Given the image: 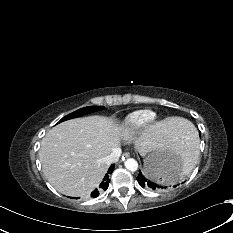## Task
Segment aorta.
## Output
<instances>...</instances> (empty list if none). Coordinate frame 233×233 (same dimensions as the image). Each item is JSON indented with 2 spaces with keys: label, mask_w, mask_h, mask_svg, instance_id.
<instances>
[{
  "label": "aorta",
  "mask_w": 233,
  "mask_h": 233,
  "mask_svg": "<svg viewBox=\"0 0 233 233\" xmlns=\"http://www.w3.org/2000/svg\"><path fill=\"white\" fill-rule=\"evenodd\" d=\"M125 168L129 171H136L138 169V162L133 159V158H129L124 162Z\"/></svg>",
  "instance_id": "762f6f07"
}]
</instances>
